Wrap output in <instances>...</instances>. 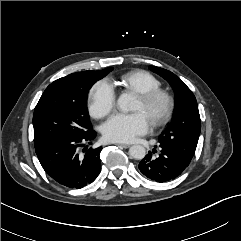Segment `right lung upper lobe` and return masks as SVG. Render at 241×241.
<instances>
[{"instance_id": "1", "label": "right lung upper lobe", "mask_w": 241, "mask_h": 241, "mask_svg": "<svg viewBox=\"0 0 241 241\" xmlns=\"http://www.w3.org/2000/svg\"><path fill=\"white\" fill-rule=\"evenodd\" d=\"M109 68H106L104 70H100V71H94L95 73H98V74H103V73H106L108 71Z\"/></svg>"}]
</instances>
